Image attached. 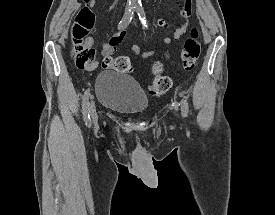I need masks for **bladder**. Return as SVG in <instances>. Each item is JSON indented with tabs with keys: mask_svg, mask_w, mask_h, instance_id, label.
Masks as SVG:
<instances>
[{
	"mask_svg": "<svg viewBox=\"0 0 275 215\" xmlns=\"http://www.w3.org/2000/svg\"><path fill=\"white\" fill-rule=\"evenodd\" d=\"M95 91L99 103L105 109L139 115L148 106V100L137 82L120 72H100Z\"/></svg>",
	"mask_w": 275,
	"mask_h": 215,
	"instance_id": "bladder-1",
	"label": "bladder"
}]
</instances>
